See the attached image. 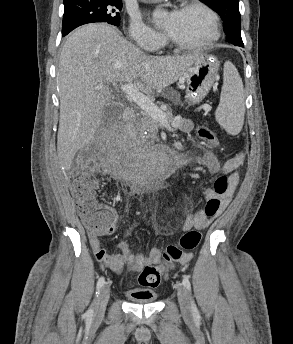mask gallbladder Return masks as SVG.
Returning <instances> with one entry per match:
<instances>
[{"label": "gallbladder", "instance_id": "1", "mask_svg": "<svg viewBox=\"0 0 293 344\" xmlns=\"http://www.w3.org/2000/svg\"><path fill=\"white\" fill-rule=\"evenodd\" d=\"M113 108V104L108 106L106 109H105V114L108 115L110 110Z\"/></svg>", "mask_w": 293, "mask_h": 344}]
</instances>
